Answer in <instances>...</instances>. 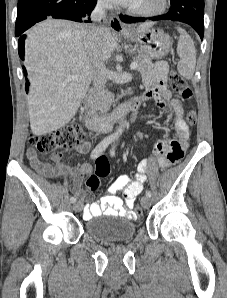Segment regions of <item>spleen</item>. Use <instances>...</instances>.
I'll return each mask as SVG.
<instances>
[{
    "label": "spleen",
    "mask_w": 227,
    "mask_h": 298,
    "mask_svg": "<svg viewBox=\"0 0 227 298\" xmlns=\"http://www.w3.org/2000/svg\"><path fill=\"white\" fill-rule=\"evenodd\" d=\"M180 37L177 45V53L180 57L177 69L181 76L186 79L193 77L196 66V50L194 42L189 34L182 28H177Z\"/></svg>",
    "instance_id": "spleen-1"
}]
</instances>
